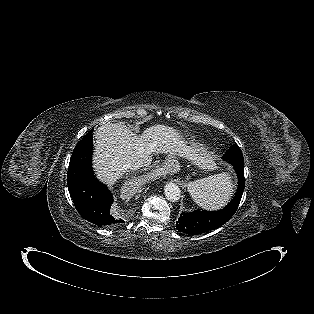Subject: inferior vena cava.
Listing matches in <instances>:
<instances>
[{"mask_svg":"<svg viewBox=\"0 0 314 314\" xmlns=\"http://www.w3.org/2000/svg\"><path fill=\"white\" fill-rule=\"evenodd\" d=\"M144 165L142 160H137L135 162L126 165L127 169L137 170Z\"/></svg>","mask_w":314,"mask_h":314,"instance_id":"1","label":"inferior vena cava"}]
</instances>
